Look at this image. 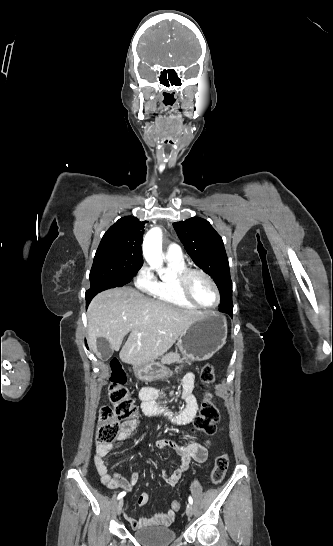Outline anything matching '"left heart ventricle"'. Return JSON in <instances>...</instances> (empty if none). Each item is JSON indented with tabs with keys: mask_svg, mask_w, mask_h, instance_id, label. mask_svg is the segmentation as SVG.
I'll use <instances>...</instances> for the list:
<instances>
[{
	"mask_svg": "<svg viewBox=\"0 0 333 546\" xmlns=\"http://www.w3.org/2000/svg\"><path fill=\"white\" fill-rule=\"evenodd\" d=\"M192 296L202 305L211 306L216 302V293L212 285L201 275L193 274L189 279Z\"/></svg>",
	"mask_w": 333,
	"mask_h": 546,
	"instance_id": "left-heart-ventricle-1",
	"label": "left heart ventricle"
}]
</instances>
